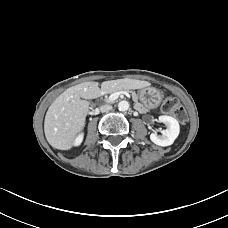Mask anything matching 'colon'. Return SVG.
<instances>
[{
	"mask_svg": "<svg viewBox=\"0 0 228 228\" xmlns=\"http://www.w3.org/2000/svg\"><path fill=\"white\" fill-rule=\"evenodd\" d=\"M162 110L166 114L174 116L180 122H184L187 118V114L179 100L173 97H167L164 99Z\"/></svg>",
	"mask_w": 228,
	"mask_h": 228,
	"instance_id": "obj_1",
	"label": "colon"
}]
</instances>
